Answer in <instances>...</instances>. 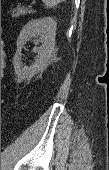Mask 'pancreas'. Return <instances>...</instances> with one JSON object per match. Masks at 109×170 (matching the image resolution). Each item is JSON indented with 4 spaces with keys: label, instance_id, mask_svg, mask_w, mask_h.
Here are the masks:
<instances>
[{
    "label": "pancreas",
    "instance_id": "pancreas-1",
    "mask_svg": "<svg viewBox=\"0 0 109 170\" xmlns=\"http://www.w3.org/2000/svg\"><path fill=\"white\" fill-rule=\"evenodd\" d=\"M12 16L13 17H20L22 15H27L33 12V9L31 7L26 6H18L16 9H14Z\"/></svg>",
    "mask_w": 109,
    "mask_h": 170
}]
</instances>
